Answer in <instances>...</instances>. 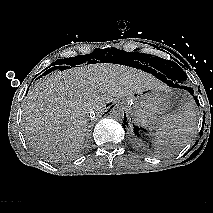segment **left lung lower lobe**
<instances>
[{
	"label": "left lung lower lobe",
	"instance_id": "left-lung-lower-lobe-1",
	"mask_svg": "<svg viewBox=\"0 0 213 213\" xmlns=\"http://www.w3.org/2000/svg\"><path fill=\"white\" fill-rule=\"evenodd\" d=\"M153 71H154L153 73H154L160 80H162L163 82L167 83L169 86L175 87V88H182V89L188 90V91L192 94V96L194 97L196 103L198 104L197 98L193 95V94H194V91H193L192 88L186 87V86H184V85L178 84L177 82H174V80H173V79H170L169 75H167V74H165V73H160V72H157V71H155V70H153ZM126 121H127V118H126V116H124V124H123V127H124V128H125V125H126Z\"/></svg>",
	"mask_w": 213,
	"mask_h": 213
}]
</instances>
